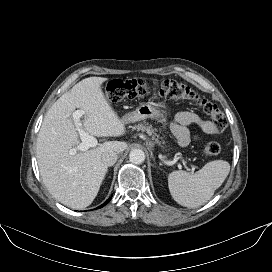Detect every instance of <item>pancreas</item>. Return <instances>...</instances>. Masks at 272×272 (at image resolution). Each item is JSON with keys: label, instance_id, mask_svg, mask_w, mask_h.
<instances>
[{"label": "pancreas", "instance_id": "obj_1", "mask_svg": "<svg viewBox=\"0 0 272 272\" xmlns=\"http://www.w3.org/2000/svg\"><path fill=\"white\" fill-rule=\"evenodd\" d=\"M147 124H145V125H143V124H139V125H137L135 128L138 130V131H143V132H147V134L149 135V136H151V135H153V133H154V130L152 129V126L151 125H149V126H146Z\"/></svg>", "mask_w": 272, "mask_h": 272}]
</instances>
